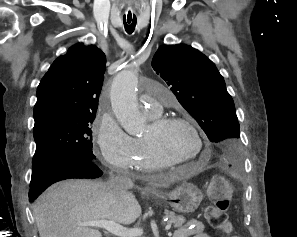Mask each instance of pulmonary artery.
<instances>
[{"label": "pulmonary artery", "mask_w": 297, "mask_h": 237, "mask_svg": "<svg viewBox=\"0 0 297 237\" xmlns=\"http://www.w3.org/2000/svg\"><path fill=\"white\" fill-rule=\"evenodd\" d=\"M164 94H168L167 97ZM174 103L173 97L165 90L146 86L142 96V108L150 116L156 115L162 106H171Z\"/></svg>", "instance_id": "obj_1"}]
</instances>
